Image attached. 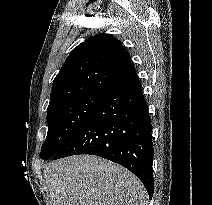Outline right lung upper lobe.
Returning <instances> with one entry per match:
<instances>
[{
	"label": "right lung upper lobe",
	"instance_id": "1",
	"mask_svg": "<svg viewBox=\"0 0 212 205\" xmlns=\"http://www.w3.org/2000/svg\"><path fill=\"white\" fill-rule=\"evenodd\" d=\"M132 68L129 53L114 36L94 35L67 57L53 81L48 110L79 96L102 93Z\"/></svg>",
	"mask_w": 212,
	"mask_h": 205
}]
</instances>
